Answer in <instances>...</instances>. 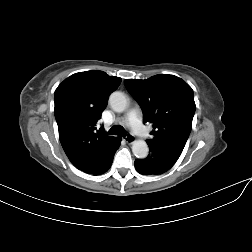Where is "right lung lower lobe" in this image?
<instances>
[{
  "instance_id": "obj_1",
  "label": "right lung lower lobe",
  "mask_w": 252,
  "mask_h": 252,
  "mask_svg": "<svg viewBox=\"0 0 252 252\" xmlns=\"http://www.w3.org/2000/svg\"><path fill=\"white\" fill-rule=\"evenodd\" d=\"M120 141H121L120 137H117L116 139L113 140V142L109 146L108 156L105 159L104 163L96 171L88 173V174L100 175L108 171V169L111 167V164L113 162L114 154L120 146Z\"/></svg>"
}]
</instances>
